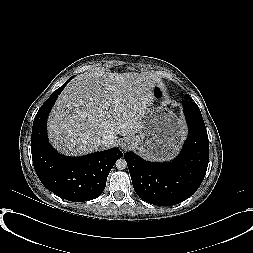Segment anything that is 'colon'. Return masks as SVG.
I'll use <instances>...</instances> for the list:
<instances>
[{"mask_svg":"<svg viewBox=\"0 0 253 253\" xmlns=\"http://www.w3.org/2000/svg\"><path fill=\"white\" fill-rule=\"evenodd\" d=\"M152 93L156 98H159L162 95V90L159 87H155Z\"/></svg>","mask_w":253,"mask_h":253,"instance_id":"5ec220e1","label":"colon"}]
</instances>
